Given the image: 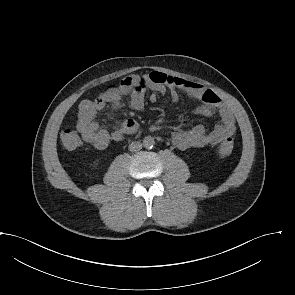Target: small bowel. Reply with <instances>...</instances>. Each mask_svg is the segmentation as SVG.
Returning <instances> with one entry per match:
<instances>
[{
	"instance_id": "c3829d8e",
	"label": "small bowel",
	"mask_w": 295,
	"mask_h": 295,
	"mask_svg": "<svg viewBox=\"0 0 295 295\" xmlns=\"http://www.w3.org/2000/svg\"><path fill=\"white\" fill-rule=\"evenodd\" d=\"M167 89L170 91L173 102L178 101V91L181 90L198 101L196 113L203 116L218 113L220 117V122L210 131H207L204 125L198 124L189 130L173 132L171 140L175 147L180 150L201 148L217 145L232 137L236 129L233 114L214 91L198 83L161 72L128 76L118 86L107 88L96 98L82 100L78 108L77 130L81 133L84 142L97 149H104L110 142L121 141L126 135L135 133L138 124L134 119H123L118 121L116 127L109 132L101 128L95 119L99 111L107 106L114 109L121 108L125 96L130 97V107L140 111L144 107L147 90L151 91L150 101L155 102L158 95L165 93Z\"/></svg>"
}]
</instances>
